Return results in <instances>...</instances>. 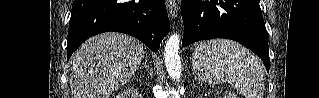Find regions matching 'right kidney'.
Instances as JSON below:
<instances>
[{"instance_id":"obj_1","label":"right kidney","mask_w":319,"mask_h":98,"mask_svg":"<svg viewBox=\"0 0 319 98\" xmlns=\"http://www.w3.org/2000/svg\"><path fill=\"white\" fill-rule=\"evenodd\" d=\"M116 98H125V94H119Z\"/></svg>"}]
</instances>
